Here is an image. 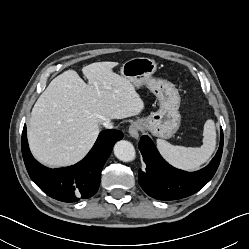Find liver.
<instances>
[{
	"mask_svg": "<svg viewBox=\"0 0 249 249\" xmlns=\"http://www.w3.org/2000/svg\"><path fill=\"white\" fill-rule=\"evenodd\" d=\"M116 62L83 67L86 84L74 70L54 78L36 101L28 124L34 157L53 166H70L92 148L99 124L138 115L144 103L132 83L113 72Z\"/></svg>",
	"mask_w": 249,
	"mask_h": 249,
	"instance_id": "6515ba94",
	"label": "liver"
}]
</instances>
